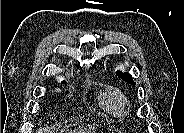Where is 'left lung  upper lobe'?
Segmentation results:
<instances>
[{"mask_svg": "<svg viewBox=\"0 0 184 133\" xmlns=\"http://www.w3.org/2000/svg\"><path fill=\"white\" fill-rule=\"evenodd\" d=\"M117 75L123 79L125 82L131 84V85H134L136 84L132 78V76L129 74V73H122L120 71L117 72Z\"/></svg>", "mask_w": 184, "mask_h": 133, "instance_id": "1", "label": "left lung upper lobe"}]
</instances>
